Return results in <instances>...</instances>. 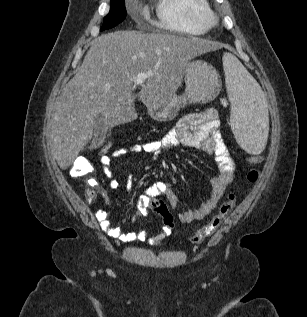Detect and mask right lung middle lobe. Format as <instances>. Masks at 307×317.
Masks as SVG:
<instances>
[{"label":"right lung middle lobe","mask_w":307,"mask_h":317,"mask_svg":"<svg viewBox=\"0 0 307 317\" xmlns=\"http://www.w3.org/2000/svg\"><path fill=\"white\" fill-rule=\"evenodd\" d=\"M109 14L104 18L102 30L113 28L126 18L124 0H111Z\"/></svg>","instance_id":"right-lung-middle-lobe-1"}]
</instances>
